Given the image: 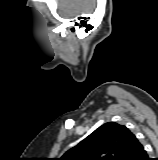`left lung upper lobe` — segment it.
Returning a JSON list of instances; mask_svg holds the SVG:
<instances>
[{"instance_id": "1", "label": "left lung upper lobe", "mask_w": 158, "mask_h": 160, "mask_svg": "<svg viewBox=\"0 0 158 160\" xmlns=\"http://www.w3.org/2000/svg\"><path fill=\"white\" fill-rule=\"evenodd\" d=\"M135 140L136 136L127 127L108 122L68 150L60 160H127Z\"/></svg>"}]
</instances>
